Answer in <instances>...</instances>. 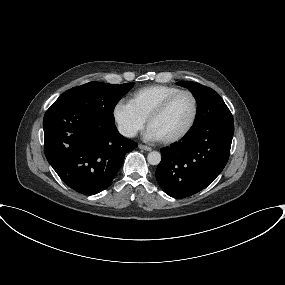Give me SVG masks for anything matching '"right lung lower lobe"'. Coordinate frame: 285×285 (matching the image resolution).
<instances>
[{
  "label": "right lung lower lobe",
  "mask_w": 285,
  "mask_h": 285,
  "mask_svg": "<svg viewBox=\"0 0 285 285\" xmlns=\"http://www.w3.org/2000/svg\"><path fill=\"white\" fill-rule=\"evenodd\" d=\"M43 129L48 162L67 186L86 195L104 190L137 147L115 124L63 103L47 110Z\"/></svg>",
  "instance_id": "obj_1"
}]
</instances>
